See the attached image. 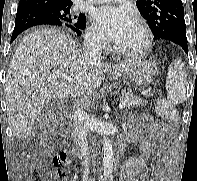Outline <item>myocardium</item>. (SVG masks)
Here are the masks:
<instances>
[{
  "mask_svg": "<svg viewBox=\"0 0 197 181\" xmlns=\"http://www.w3.org/2000/svg\"><path fill=\"white\" fill-rule=\"evenodd\" d=\"M134 22L142 29L144 33L143 44L139 48H136V49L125 48L116 44L114 46V49L117 52L126 56L139 57V56L145 55L151 49L153 45V41H154V35L150 26L144 19L138 17V18H135Z\"/></svg>",
  "mask_w": 197,
  "mask_h": 181,
  "instance_id": "1",
  "label": "myocardium"
}]
</instances>
